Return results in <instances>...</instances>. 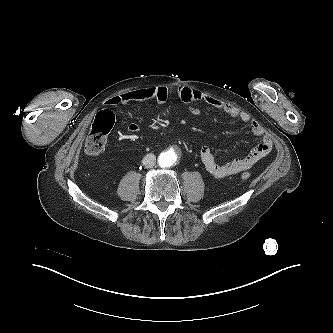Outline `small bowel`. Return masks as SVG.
<instances>
[{
	"label": "small bowel",
	"instance_id": "small-bowel-1",
	"mask_svg": "<svg viewBox=\"0 0 333 333\" xmlns=\"http://www.w3.org/2000/svg\"><path fill=\"white\" fill-rule=\"evenodd\" d=\"M169 95L170 89L166 86L141 88L111 97L106 101V105L117 106L133 101H154L156 103H164L167 101ZM177 95L183 103L190 105L191 111L194 114L198 112L195 104L203 101L210 106L223 111L228 116L241 120L249 126L251 132L255 136L261 138V142L255 146L248 155L225 164H219L211 149L208 146H203L200 149V159L205 170L213 177L220 179L244 172L252 168L258 161L271 152L273 148L271 138L266 134L264 128L246 111L240 110L211 95L186 86L179 87ZM127 128L132 133L140 131V126L136 123H130Z\"/></svg>",
	"mask_w": 333,
	"mask_h": 333
}]
</instances>
